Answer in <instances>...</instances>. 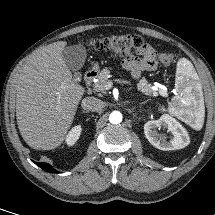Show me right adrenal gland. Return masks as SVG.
Returning <instances> with one entry per match:
<instances>
[{"label": "right adrenal gland", "instance_id": "1", "mask_svg": "<svg viewBox=\"0 0 215 215\" xmlns=\"http://www.w3.org/2000/svg\"><path fill=\"white\" fill-rule=\"evenodd\" d=\"M82 112H83V113H89V111H86V110H83Z\"/></svg>", "mask_w": 215, "mask_h": 215}]
</instances>
